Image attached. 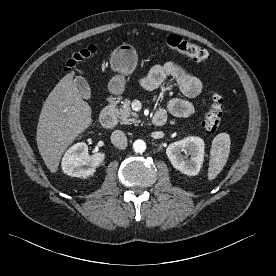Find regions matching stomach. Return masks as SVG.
Masks as SVG:
<instances>
[{
  "label": "stomach",
  "instance_id": "0dacf381",
  "mask_svg": "<svg viewBox=\"0 0 276 276\" xmlns=\"http://www.w3.org/2000/svg\"><path fill=\"white\" fill-rule=\"evenodd\" d=\"M137 65V54L129 44H121L111 55V69L118 73L109 84L108 89L114 95H120L125 90V76L132 74Z\"/></svg>",
  "mask_w": 276,
  "mask_h": 276
}]
</instances>
